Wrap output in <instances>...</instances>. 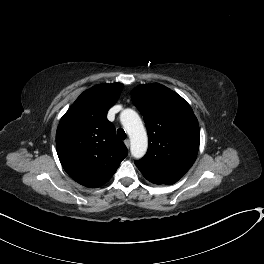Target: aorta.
<instances>
[{
  "label": "aorta",
  "instance_id": "762f6f07",
  "mask_svg": "<svg viewBox=\"0 0 264 264\" xmlns=\"http://www.w3.org/2000/svg\"><path fill=\"white\" fill-rule=\"evenodd\" d=\"M120 121L130 137V149L134 158H142L148 148V138L141 118L136 111L124 109Z\"/></svg>",
  "mask_w": 264,
  "mask_h": 264
}]
</instances>
